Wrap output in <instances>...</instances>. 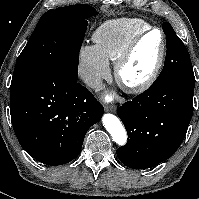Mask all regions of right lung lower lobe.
Returning <instances> with one entry per match:
<instances>
[{
    "label": "right lung lower lobe",
    "instance_id": "98d812e1",
    "mask_svg": "<svg viewBox=\"0 0 199 199\" xmlns=\"http://www.w3.org/2000/svg\"><path fill=\"white\" fill-rule=\"evenodd\" d=\"M103 106L75 78L52 70L10 92L11 121L17 139L46 165L73 160Z\"/></svg>",
    "mask_w": 199,
    "mask_h": 199
}]
</instances>
